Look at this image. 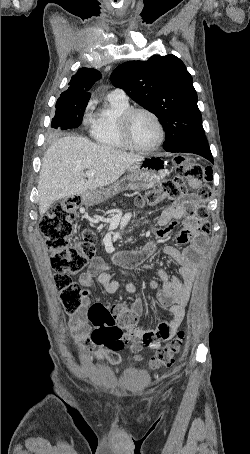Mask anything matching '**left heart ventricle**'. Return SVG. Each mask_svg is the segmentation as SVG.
<instances>
[{
  "mask_svg": "<svg viewBox=\"0 0 250 454\" xmlns=\"http://www.w3.org/2000/svg\"><path fill=\"white\" fill-rule=\"evenodd\" d=\"M130 132L134 144L143 148L153 145L159 136L154 120L144 113L136 114L133 117Z\"/></svg>",
  "mask_w": 250,
  "mask_h": 454,
  "instance_id": "1",
  "label": "left heart ventricle"
}]
</instances>
